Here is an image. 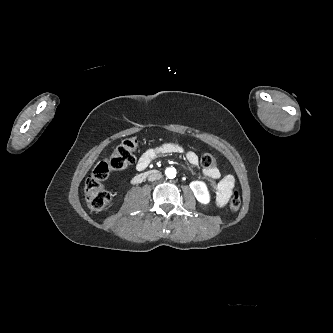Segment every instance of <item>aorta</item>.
Wrapping results in <instances>:
<instances>
[{"label": "aorta", "instance_id": "762f6f07", "mask_svg": "<svg viewBox=\"0 0 333 333\" xmlns=\"http://www.w3.org/2000/svg\"><path fill=\"white\" fill-rule=\"evenodd\" d=\"M165 175L167 176V178L169 179H173L176 176V169L175 168H167L165 170Z\"/></svg>", "mask_w": 333, "mask_h": 333}]
</instances>
